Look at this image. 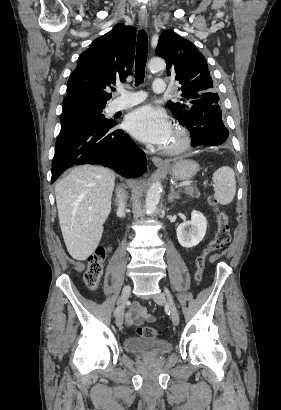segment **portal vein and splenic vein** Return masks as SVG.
<instances>
[{"mask_svg":"<svg viewBox=\"0 0 281 410\" xmlns=\"http://www.w3.org/2000/svg\"><path fill=\"white\" fill-rule=\"evenodd\" d=\"M191 183H192V181H186V182H182V183L176 185L175 187H176V188H179V187H183V186H188V185H190Z\"/></svg>","mask_w":281,"mask_h":410,"instance_id":"portal-vein-and-splenic-vein-1","label":"portal vein and splenic vein"}]
</instances>
